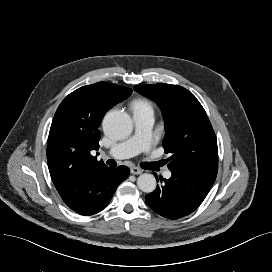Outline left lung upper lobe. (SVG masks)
<instances>
[{"mask_svg": "<svg viewBox=\"0 0 272 272\" xmlns=\"http://www.w3.org/2000/svg\"><path fill=\"white\" fill-rule=\"evenodd\" d=\"M134 89L161 108L166 134L163 147L172 171L198 170L217 174V139L202 105L187 89L170 84H147Z\"/></svg>", "mask_w": 272, "mask_h": 272, "instance_id": "obj_1", "label": "left lung upper lobe"}]
</instances>
